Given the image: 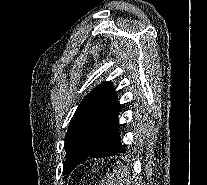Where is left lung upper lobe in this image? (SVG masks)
<instances>
[{
	"label": "left lung upper lobe",
	"mask_w": 207,
	"mask_h": 185,
	"mask_svg": "<svg viewBox=\"0 0 207 185\" xmlns=\"http://www.w3.org/2000/svg\"><path fill=\"white\" fill-rule=\"evenodd\" d=\"M119 102L111 81L97 85L79 104L65 137L63 173L86 154L104 151L118 129Z\"/></svg>",
	"instance_id": "5c2ea615"
}]
</instances>
